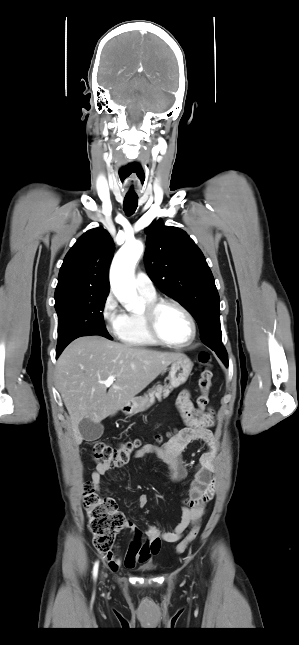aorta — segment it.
Wrapping results in <instances>:
<instances>
[{
	"label": "aorta",
	"instance_id": "1",
	"mask_svg": "<svg viewBox=\"0 0 299 645\" xmlns=\"http://www.w3.org/2000/svg\"><path fill=\"white\" fill-rule=\"evenodd\" d=\"M140 241L126 242L114 257L110 270V283L114 295L127 309H134L137 304L134 268L143 253Z\"/></svg>",
	"mask_w": 299,
	"mask_h": 645
}]
</instances>
